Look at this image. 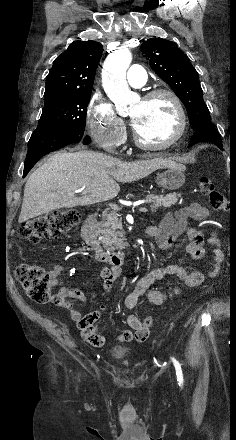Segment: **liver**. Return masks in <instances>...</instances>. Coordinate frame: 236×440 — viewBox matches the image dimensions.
Listing matches in <instances>:
<instances>
[{
	"mask_svg": "<svg viewBox=\"0 0 236 440\" xmlns=\"http://www.w3.org/2000/svg\"><path fill=\"white\" fill-rule=\"evenodd\" d=\"M174 162L154 158L124 162L103 153L58 152L26 182L19 223L60 208L91 205L116 197L119 184L147 177ZM82 189L80 197L76 191Z\"/></svg>",
	"mask_w": 236,
	"mask_h": 440,
	"instance_id": "obj_1",
	"label": "liver"
}]
</instances>
